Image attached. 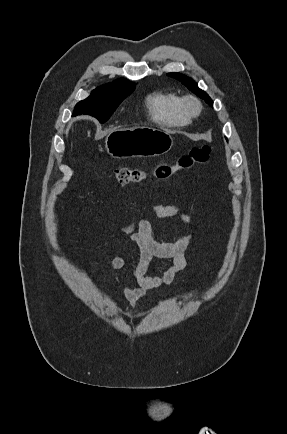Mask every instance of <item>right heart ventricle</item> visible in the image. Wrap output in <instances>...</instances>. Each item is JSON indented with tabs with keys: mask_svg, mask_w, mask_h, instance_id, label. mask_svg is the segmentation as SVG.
I'll list each match as a JSON object with an SVG mask.
<instances>
[{
	"mask_svg": "<svg viewBox=\"0 0 287 434\" xmlns=\"http://www.w3.org/2000/svg\"><path fill=\"white\" fill-rule=\"evenodd\" d=\"M181 98L172 92L158 91L147 99V107L151 117L164 125H186L189 117L182 109Z\"/></svg>",
	"mask_w": 287,
	"mask_h": 434,
	"instance_id": "1",
	"label": "right heart ventricle"
}]
</instances>
